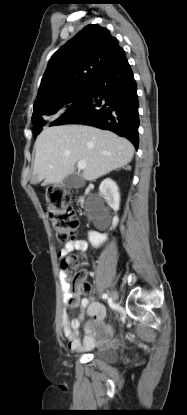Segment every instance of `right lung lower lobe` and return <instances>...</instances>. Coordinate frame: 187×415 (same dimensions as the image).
Wrapping results in <instances>:
<instances>
[{"mask_svg": "<svg viewBox=\"0 0 187 415\" xmlns=\"http://www.w3.org/2000/svg\"><path fill=\"white\" fill-rule=\"evenodd\" d=\"M84 124L107 129L138 148L139 114L136 82L125 52L91 82V92L51 125Z\"/></svg>", "mask_w": 187, "mask_h": 415, "instance_id": "98d812e1", "label": "right lung lower lobe"}]
</instances>
